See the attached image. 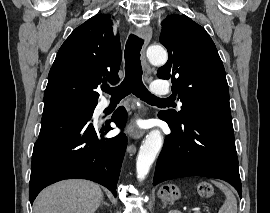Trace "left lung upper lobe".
<instances>
[{
  "label": "left lung upper lobe",
  "mask_w": 270,
  "mask_h": 213,
  "mask_svg": "<svg viewBox=\"0 0 270 213\" xmlns=\"http://www.w3.org/2000/svg\"><path fill=\"white\" fill-rule=\"evenodd\" d=\"M160 43L168 50L158 77L172 79L181 110L161 112L176 123L193 116L231 118L229 89L223 63L206 30L186 15H168L162 22Z\"/></svg>",
  "instance_id": "left-lung-upper-lobe-1"
}]
</instances>
